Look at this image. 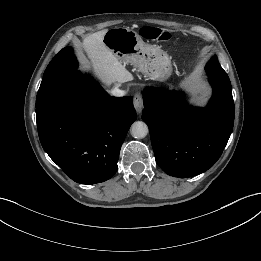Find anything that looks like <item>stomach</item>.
I'll return each instance as SVG.
<instances>
[{
    "mask_svg": "<svg viewBox=\"0 0 261 261\" xmlns=\"http://www.w3.org/2000/svg\"><path fill=\"white\" fill-rule=\"evenodd\" d=\"M103 43L121 63L134 65L146 78L165 82L172 74L171 59L167 53L155 45L146 44L130 28L107 30Z\"/></svg>",
    "mask_w": 261,
    "mask_h": 261,
    "instance_id": "0dacf381",
    "label": "stomach"
}]
</instances>
